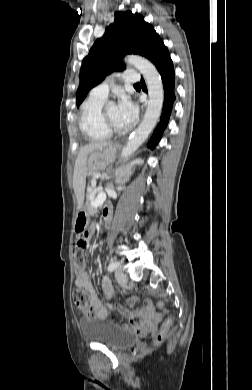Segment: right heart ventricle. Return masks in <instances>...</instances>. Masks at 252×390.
Instances as JSON below:
<instances>
[{"instance_id": "obj_1", "label": "right heart ventricle", "mask_w": 252, "mask_h": 390, "mask_svg": "<svg viewBox=\"0 0 252 390\" xmlns=\"http://www.w3.org/2000/svg\"><path fill=\"white\" fill-rule=\"evenodd\" d=\"M104 103L105 99L89 95L81 105L79 127L84 136L90 141H105L111 136V133L102 125L100 118Z\"/></svg>"}]
</instances>
